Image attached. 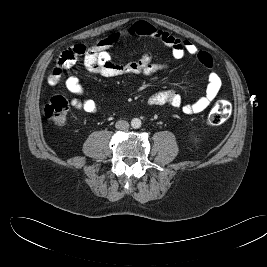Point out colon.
Returning a JSON list of instances; mask_svg holds the SVG:
<instances>
[{"label":"colon","instance_id":"obj_1","mask_svg":"<svg viewBox=\"0 0 267 267\" xmlns=\"http://www.w3.org/2000/svg\"><path fill=\"white\" fill-rule=\"evenodd\" d=\"M69 104L67 100L60 96L54 95L44 108L46 118L57 126H62L67 122ZM232 106L227 100L221 99L213 105L209 115L208 124L217 126L227 121L231 115Z\"/></svg>","mask_w":267,"mask_h":267}]
</instances>
